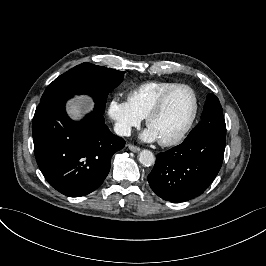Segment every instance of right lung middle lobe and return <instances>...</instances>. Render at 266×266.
<instances>
[{"label":"right lung middle lobe","instance_id":"obj_1","mask_svg":"<svg viewBox=\"0 0 266 266\" xmlns=\"http://www.w3.org/2000/svg\"><path fill=\"white\" fill-rule=\"evenodd\" d=\"M123 77V71L82 63L56 78L46 88L40 102L57 94H88L104 112L109 91L117 87Z\"/></svg>","mask_w":266,"mask_h":266}]
</instances>
